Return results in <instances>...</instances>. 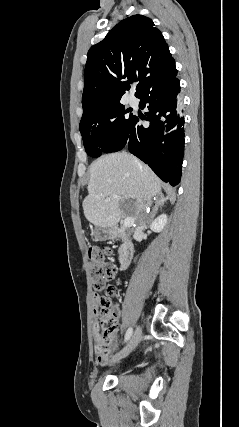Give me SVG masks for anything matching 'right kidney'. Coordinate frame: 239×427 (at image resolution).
<instances>
[{"label":"right kidney","mask_w":239,"mask_h":427,"mask_svg":"<svg viewBox=\"0 0 239 427\" xmlns=\"http://www.w3.org/2000/svg\"><path fill=\"white\" fill-rule=\"evenodd\" d=\"M167 223V215L161 214L150 225V229L154 232H161Z\"/></svg>","instance_id":"1"}]
</instances>
